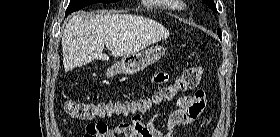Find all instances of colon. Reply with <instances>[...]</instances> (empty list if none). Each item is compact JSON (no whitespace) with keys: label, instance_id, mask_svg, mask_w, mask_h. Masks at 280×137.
Wrapping results in <instances>:
<instances>
[{"label":"colon","instance_id":"colon-1","mask_svg":"<svg viewBox=\"0 0 280 137\" xmlns=\"http://www.w3.org/2000/svg\"><path fill=\"white\" fill-rule=\"evenodd\" d=\"M204 70L201 66L188 67L176 80L156 92L155 95L123 102L66 101L63 110L72 118L88 120L95 117L131 116L148 112L153 106L170 100L176 93L194 90L200 83ZM121 137H138L137 133H124Z\"/></svg>","mask_w":280,"mask_h":137}]
</instances>
